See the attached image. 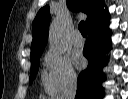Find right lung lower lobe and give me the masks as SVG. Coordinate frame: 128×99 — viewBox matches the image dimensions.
<instances>
[{"mask_svg": "<svg viewBox=\"0 0 128 99\" xmlns=\"http://www.w3.org/2000/svg\"><path fill=\"white\" fill-rule=\"evenodd\" d=\"M88 27V39L84 47V56L88 59V67L78 76L75 99H102L101 82L105 76L102 68L107 63L103 56L111 48V30L109 29V13H100Z\"/></svg>", "mask_w": 128, "mask_h": 99, "instance_id": "obj_1", "label": "right lung lower lobe"}]
</instances>
